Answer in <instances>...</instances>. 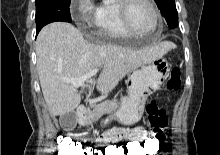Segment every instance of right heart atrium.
Returning <instances> with one entry per match:
<instances>
[{"label":"right heart atrium","instance_id":"obj_1","mask_svg":"<svg viewBox=\"0 0 220 155\" xmlns=\"http://www.w3.org/2000/svg\"><path fill=\"white\" fill-rule=\"evenodd\" d=\"M73 18L76 22L88 28L99 27L97 7L92 0H78L74 9Z\"/></svg>","mask_w":220,"mask_h":155}]
</instances>
